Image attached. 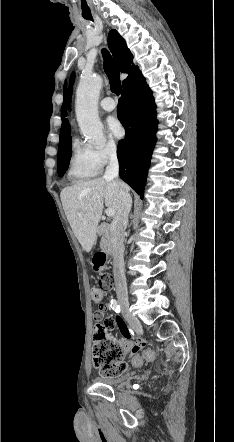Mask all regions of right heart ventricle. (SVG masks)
<instances>
[{"label": "right heart ventricle", "mask_w": 234, "mask_h": 442, "mask_svg": "<svg viewBox=\"0 0 234 442\" xmlns=\"http://www.w3.org/2000/svg\"><path fill=\"white\" fill-rule=\"evenodd\" d=\"M99 172L93 149L74 139L68 162V176L75 181L89 180Z\"/></svg>", "instance_id": "obj_1"}]
</instances>
